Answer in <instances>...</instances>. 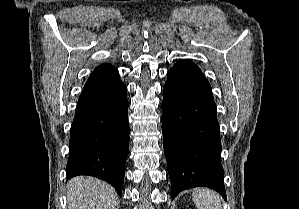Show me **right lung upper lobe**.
<instances>
[{
	"label": "right lung upper lobe",
	"instance_id": "cb5924a9",
	"mask_svg": "<svg viewBox=\"0 0 299 209\" xmlns=\"http://www.w3.org/2000/svg\"><path fill=\"white\" fill-rule=\"evenodd\" d=\"M96 69H107V70L116 71V69L113 66H111L110 64H102V65L98 66Z\"/></svg>",
	"mask_w": 299,
	"mask_h": 209
}]
</instances>
